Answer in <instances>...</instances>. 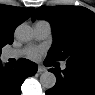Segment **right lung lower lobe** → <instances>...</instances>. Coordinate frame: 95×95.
I'll return each mask as SVG.
<instances>
[{
  "mask_svg": "<svg viewBox=\"0 0 95 95\" xmlns=\"http://www.w3.org/2000/svg\"><path fill=\"white\" fill-rule=\"evenodd\" d=\"M13 68H3L0 61V95H20L24 80L37 72V65L21 59Z\"/></svg>",
  "mask_w": 95,
  "mask_h": 95,
  "instance_id": "obj_1",
  "label": "right lung lower lobe"
}]
</instances>
